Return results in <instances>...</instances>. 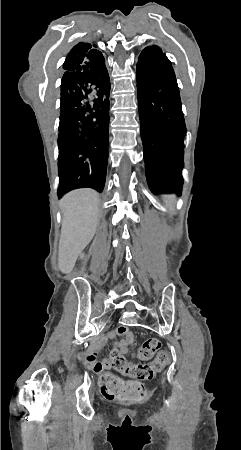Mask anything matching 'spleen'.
I'll list each match as a JSON object with an SVG mask.
<instances>
[{"instance_id":"spleen-1","label":"spleen","mask_w":241,"mask_h":450,"mask_svg":"<svg viewBox=\"0 0 241 450\" xmlns=\"http://www.w3.org/2000/svg\"><path fill=\"white\" fill-rule=\"evenodd\" d=\"M163 198H164V202H165L166 206H168V208H169L170 214H173V210H174L173 196H163Z\"/></svg>"}]
</instances>
